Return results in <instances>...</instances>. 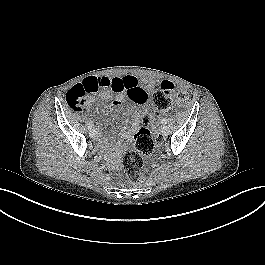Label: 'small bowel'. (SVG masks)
<instances>
[{"mask_svg": "<svg viewBox=\"0 0 265 265\" xmlns=\"http://www.w3.org/2000/svg\"><path fill=\"white\" fill-rule=\"evenodd\" d=\"M92 80L98 85V93L87 96L84 104L85 107H90L98 99H110L113 94H116V96L112 101V106L120 107L126 97L135 103V107L132 110L134 118L132 127L136 128L140 124L143 111H146L151 103L150 90L154 88V82L145 81L140 83L136 77L131 75L122 77H96L92 78ZM127 135L128 132L123 133L124 138Z\"/></svg>", "mask_w": 265, "mask_h": 265, "instance_id": "obj_1", "label": "small bowel"}]
</instances>
